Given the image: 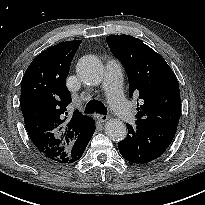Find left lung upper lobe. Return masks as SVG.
<instances>
[{
  "label": "left lung upper lobe",
  "instance_id": "5c2ea615",
  "mask_svg": "<svg viewBox=\"0 0 205 205\" xmlns=\"http://www.w3.org/2000/svg\"><path fill=\"white\" fill-rule=\"evenodd\" d=\"M106 41L124 65L129 79V96H138L137 121L172 127L181 114L177 78L166 61L140 39L129 35L108 36Z\"/></svg>",
  "mask_w": 205,
  "mask_h": 205
}]
</instances>
